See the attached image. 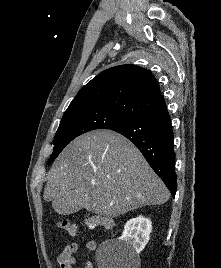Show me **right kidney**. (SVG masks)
I'll return each instance as SVG.
<instances>
[{
    "label": "right kidney",
    "instance_id": "right-kidney-1",
    "mask_svg": "<svg viewBox=\"0 0 221 268\" xmlns=\"http://www.w3.org/2000/svg\"><path fill=\"white\" fill-rule=\"evenodd\" d=\"M151 231V220L143 216H139L127 221L120 240L134 254H138L148 243Z\"/></svg>",
    "mask_w": 221,
    "mask_h": 268
}]
</instances>
